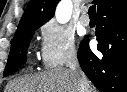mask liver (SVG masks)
Masks as SVG:
<instances>
[{
	"label": "liver",
	"instance_id": "liver-1",
	"mask_svg": "<svg viewBox=\"0 0 127 92\" xmlns=\"http://www.w3.org/2000/svg\"><path fill=\"white\" fill-rule=\"evenodd\" d=\"M83 73L57 68L46 72L18 77L10 81L5 92H79V78ZM85 77V75H84ZM86 78V77H85ZM88 92H97L86 78Z\"/></svg>",
	"mask_w": 127,
	"mask_h": 92
}]
</instances>
